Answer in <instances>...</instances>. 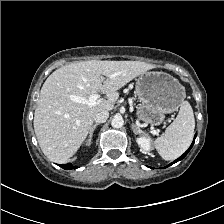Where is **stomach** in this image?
<instances>
[{"label":"stomach","instance_id":"1","mask_svg":"<svg viewBox=\"0 0 224 224\" xmlns=\"http://www.w3.org/2000/svg\"><path fill=\"white\" fill-rule=\"evenodd\" d=\"M140 99L137 118L151 125H160L165 115L177 111L186 97L180 82L165 72L146 71L136 82Z\"/></svg>","mask_w":224,"mask_h":224}]
</instances>
